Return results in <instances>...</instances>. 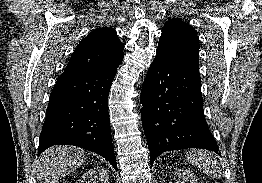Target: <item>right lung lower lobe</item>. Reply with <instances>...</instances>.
Wrapping results in <instances>:
<instances>
[{
  "mask_svg": "<svg viewBox=\"0 0 262 183\" xmlns=\"http://www.w3.org/2000/svg\"><path fill=\"white\" fill-rule=\"evenodd\" d=\"M116 72L62 73L50 94L38 154L53 145H74L101 155L117 170L107 104Z\"/></svg>",
  "mask_w": 262,
  "mask_h": 183,
  "instance_id": "98d812e1",
  "label": "right lung lower lobe"
}]
</instances>
